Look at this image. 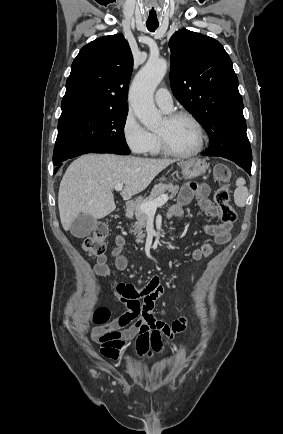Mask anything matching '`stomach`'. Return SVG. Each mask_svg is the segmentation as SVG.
Returning <instances> with one entry per match:
<instances>
[{"mask_svg": "<svg viewBox=\"0 0 283 434\" xmlns=\"http://www.w3.org/2000/svg\"><path fill=\"white\" fill-rule=\"evenodd\" d=\"M207 169L208 164L201 159H190L182 163V174L186 179L196 178L204 174ZM165 180V177L161 178V181ZM139 201H141V199H138V202Z\"/></svg>", "mask_w": 283, "mask_h": 434, "instance_id": "obj_1", "label": "stomach"}]
</instances>
